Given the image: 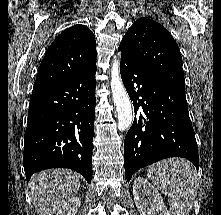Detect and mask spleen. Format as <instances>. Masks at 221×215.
I'll list each match as a JSON object with an SVG mask.
<instances>
[{
    "label": "spleen",
    "mask_w": 221,
    "mask_h": 215,
    "mask_svg": "<svg viewBox=\"0 0 221 215\" xmlns=\"http://www.w3.org/2000/svg\"><path fill=\"white\" fill-rule=\"evenodd\" d=\"M150 181L167 196L171 215H188L198 189L195 167L183 158H168L147 170Z\"/></svg>",
    "instance_id": "3e777b00"
}]
</instances>
